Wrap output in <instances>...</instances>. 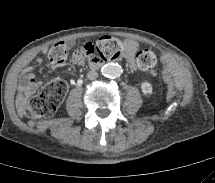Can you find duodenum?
I'll return each mask as SVG.
<instances>
[{
	"instance_id": "1",
	"label": "duodenum",
	"mask_w": 215,
	"mask_h": 183,
	"mask_svg": "<svg viewBox=\"0 0 215 183\" xmlns=\"http://www.w3.org/2000/svg\"><path fill=\"white\" fill-rule=\"evenodd\" d=\"M103 63L102 62H99V61H94L91 65L93 68H98L102 65Z\"/></svg>"
}]
</instances>
